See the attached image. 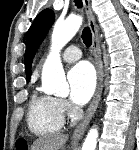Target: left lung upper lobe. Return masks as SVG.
<instances>
[{
    "label": "left lung upper lobe",
    "mask_w": 139,
    "mask_h": 150,
    "mask_svg": "<svg viewBox=\"0 0 139 150\" xmlns=\"http://www.w3.org/2000/svg\"><path fill=\"white\" fill-rule=\"evenodd\" d=\"M54 18L55 16L51 9L41 11L27 32L24 63L28 81L31 76L33 56L47 35L49 28L54 22Z\"/></svg>",
    "instance_id": "obj_1"
}]
</instances>
